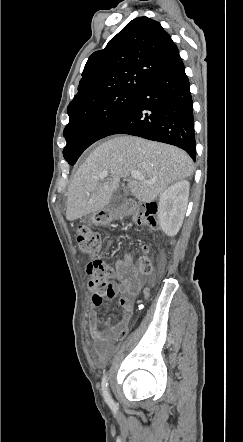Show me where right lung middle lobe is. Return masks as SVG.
Masks as SVG:
<instances>
[{"mask_svg": "<svg viewBox=\"0 0 243 442\" xmlns=\"http://www.w3.org/2000/svg\"><path fill=\"white\" fill-rule=\"evenodd\" d=\"M136 93L120 91L72 111L63 132L67 142L63 150L65 160L75 164L83 151L100 139L105 128L124 111Z\"/></svg>", "mask_w": 243, "mask_h": 442, "instance_id": "1", "label": "right lung middle lobe"}]
</instances>
